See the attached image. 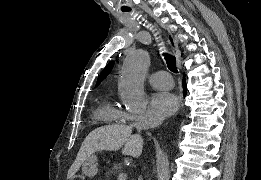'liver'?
I'll use <instances>...</instances> for the list:
<instances>
[{
	"label": "liver",
	"instance_id": "obj_1",
	"mask_svg": "<svg viewBox=\"0 0 261 180\" xmlns=\"http://www.w3.org/2000/svg\"><path fill=\"white\" fill-rule=\"evenodd\" d=\"M120 148H123L124 156L138 158L142 152L143 140L139 134L132 136V128L124 126V124H111V126L96 128L82 142L76 160L69 170L68 178H73L82 164L87 162L89 156L95 152H102V150L118 152Z\"/></svg>",
	"mask_w": 261,
	"mask_h": 180
}]
</instances>
